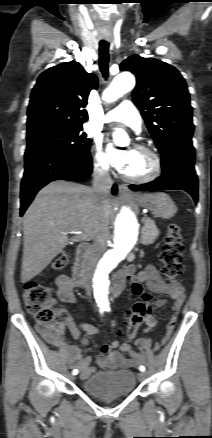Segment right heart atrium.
Here are the masks:
<instances>
[{
  "label": "right heart atrium",
  "mask_w": 212,
  "mask_h": 438,
  "mask_svg": "<svg viewBox=\"0 0 212 438\" xmlns=\"http://www.w3.org/2000/svg\"><path fill=\"white\" fill-rule=\"evenodd\" d=\"M93 167L94 170L101 175H106L110 169L109 157L101 149L99 142H95L94 145Z\"/></svg>",
  "instance_id": "1"
}]
</instances>
